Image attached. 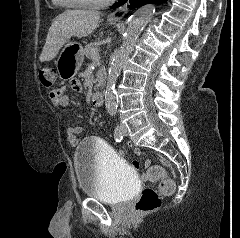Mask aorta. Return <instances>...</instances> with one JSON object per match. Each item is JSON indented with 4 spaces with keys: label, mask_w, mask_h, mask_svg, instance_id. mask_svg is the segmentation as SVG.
<instances>
[{
    "label": "aorta",
    "mask_w": 240,
    "mask_h": 238,
    "mask_svg": "<svg viewBox=\"0 0 240 238\" xmlns=\"http://www.w3.org/2000/svg\"><path fill=\"white\" fill-rule=\"evenodd\" d=\"M155 13V6L148 4L138 9L130 18L126 29L124 40L119 51L113 56L108 71L107 86L105 90V107L107 112L115 115L117 112L118 98L115 85L119 73L132 52L134 45L147 23Z\"/></svg>",
    "instance_id": "1"
}]
</instances>
